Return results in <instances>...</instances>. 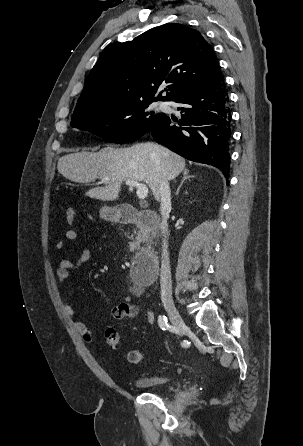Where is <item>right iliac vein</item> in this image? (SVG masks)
I'll use <instances>...</instances> for the list:
<instances>
[{"instance_id":"right-iliac-vein-1","label":"right iliac vein","mask_w":303,"mask_h":446,"mask_svg":"<svg viewBox=\"0 0 303 446\" xmlns=\"http://www.w3.org/2000/svg\"><path fill=\"white\" fill-rule=\"evenodd\" d=\"M165 309L169 315V318L171 320V323L173 325V328H174L177 336H182V334L184 333V331L186 329V325H185L182 317L180 316L177 308L175 307V305L173 303H166Z\"/></svg>"}]
</instances>
